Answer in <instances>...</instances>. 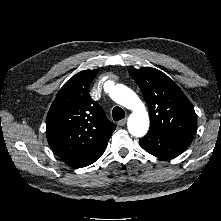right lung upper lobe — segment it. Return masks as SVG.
Returning a JSON list of instances; mask_svg holds the SVG:
<instances>
[{
  "label": "right lung upper lobe",
  "mask_w": 221,
  "mask_h": 221,
  "mask_svg": "<svg viewBox=\"0 0 221 221\" xmlns=\"http://www.w3.org/2000/svg\"><path fill=\"white\" fill-rule=\"evenodd\" d=\"M98 70H85L60 89L47 115V140L68 165L85 167L105 151L116 125L89 95Z\"/></svg>",
  "instance_id": "obj_1"
}]
</instances>
